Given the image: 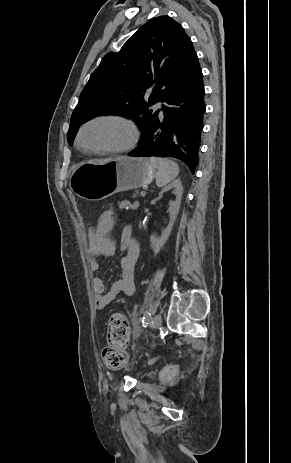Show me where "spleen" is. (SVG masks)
<instances>
[{"mask_svg": "<svg viewBox=\"0 0 291 463\" xmlns=\"http://www.w3.org/2000/svg\"><path fill=\"white\" fill-rule=\"evenodd\" d=\"M151 165L157 169L156 185L163 187L173 181L179 174L177 163L169 159H161L151 157L149 159Z\"/></svg>", "mask_w": 291, "mask_h": 463, "instance_id": "1", "label": "spleen"}]
</instances>
